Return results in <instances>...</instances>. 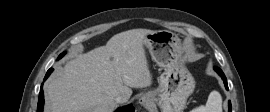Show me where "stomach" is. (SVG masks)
<instances>
[{
	"label": "stomach",
	"instance_id": "stomach-1",
	"mask_svg": "<svg viewBox=\"0 0 270 112\" xmlns=\"http://www.w3.org/2000/svg\"><path fill=\"white\" fill-rule=\"evenodd\" d=\"M144 46L164 70L158 88L150 92L153 102L162 112H182L194 91L195 80L185 66L186 57L179 37L167 30L152 31L146 35Z\"/></svg>",
	"mask_w": 270,
	"mask_h": 112
}]
</instances>
